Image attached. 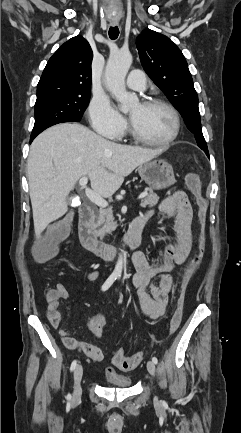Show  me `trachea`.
I'll return each mask as SVG.
<instances>
[{
	"mask_svg": "<svg viewBox=\"0 0 241 433\" xmlns=\"http://www.w3.org/2000/svg\"><path fill=\"white\" fill-rule=\"evenodd\" d=\"M118 35H119V29H118V27L117 26H114V27L111 26L109 28V37H110V39L115 40V39H117Z\"/></svg>",
	"mask_w": 241,
	"mask_h": 433,
	"instance_id": "1",
	"label": "trachea"
}]
</instances>
